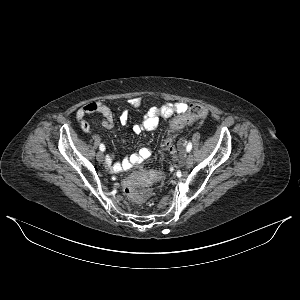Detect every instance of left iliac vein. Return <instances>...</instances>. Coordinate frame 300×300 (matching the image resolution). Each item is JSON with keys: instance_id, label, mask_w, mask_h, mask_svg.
<instances>
[{"instance_id": "1", "label": "left iliac vein", "mask_w": 300, "mask_h": 300, "mask_svg": "<svg viewBox=\"0 0 300 300\" xmlns=\"http://www.w3.org/2000/svg\"><path fill=\"white\" fill-rule=\"evenodd\" d=\"M185 158V165L187 168H190L193 164V156L191 154H186Z\"/></svg>"}]
</instances>
